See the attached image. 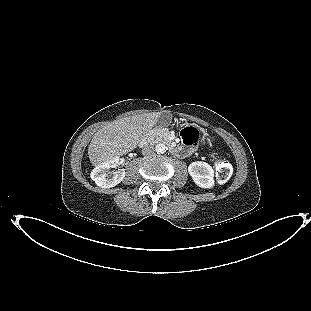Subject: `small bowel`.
Segmentation results:
<instances>
[{"label":"small bowel","mask_w":311,"mask_h":311,"mask_svg":"<svg viewBox=\"0 0 311 311\" xmlns=\"http://www.w3.org/2000/svg\"><path fill=\"white\" fill-rule=\"evenodd\" d=\"M191 129H192L194 132H197L194 128H191ZM197 133H198V132H197ZM184 143L187 144L185 141H184Z\"/></svg>","instance_id":"c3829d8e"}]
</instances>
